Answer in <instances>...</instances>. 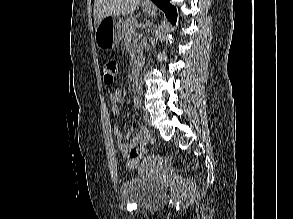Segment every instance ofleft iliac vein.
<instances>
[{"label":"left iliac vein","mask_w":293,"mask_h":219,"mask_svg":"<svg viewBox=\"0 0 293 219\" xmlns=\"http://www.w3.org/2000/svg\"><path fill=\"white\" fill-rule=\"evenodd\" d=\"M142 108H143V115H144L145 123L150 126L151 125V117H150V114H149V112L144 107H142Z\"/></svg>","instance_id":"obj_1"}]
</instances>
